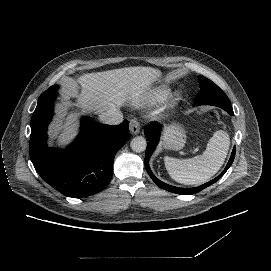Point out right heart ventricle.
<instances>
[{"mask_svg":"<svg viewBox=\"0 0 271 271\" xmlns=\"http://www.w3.org/2000/svg\"><path fill=\"white\" fill-rule=\"evenodd\" d=\"M172 90L169 84H160L151 88L146 97L151 103L163 102L171 95Z\"/></svg>","mask_w":271,"mask_h":271,"instance_id":"e07e8e85","label":"right heart ventricle"}]
</instances>
